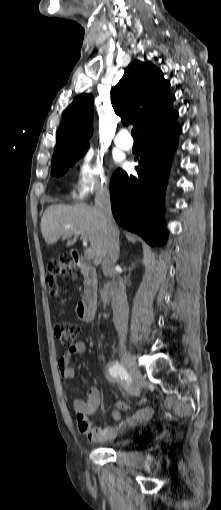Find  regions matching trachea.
I'll return each mask as SVG.
<instances>
[{
	"label": "trachea",
	"instance_id": "1",
	"mask_svg": "<svg viewBox=\"0 0 221 510\" xmlns=\"http://www.w3.org/2000/svg\"><path fill=\"white\" fill-rule=\"evenodd\" d=\"M132 136L135 140H140L139 126H136L132 129Z\"/></svg>",
	"mask_w": 221,
	"mask_h": 510
}]
</instances>
